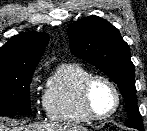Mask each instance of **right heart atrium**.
<instances>
[{
  "instance_id": "d8ad5b80",
  "label": "right heart atrium",
  "mask_w": 147,
  "mask_h": 131,
  "mask_svg": "<svg viewBox=\"0 0 147 131\" xmlns=\"http://www.w3.org/2000/svg\"><path fill=\"white\" fill-rule=\"evenodd\" d=\"M39 81V77L37 75H34L30 81V88L33 89Z\"/></svg>"
}]
</instances>
